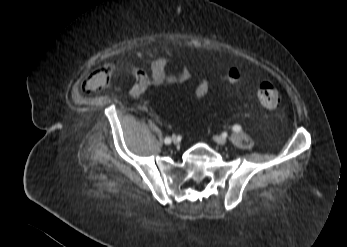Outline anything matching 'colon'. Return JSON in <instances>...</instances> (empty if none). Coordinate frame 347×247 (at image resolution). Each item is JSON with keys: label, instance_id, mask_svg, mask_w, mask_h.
<instances>
[{"label": "colon", "instance_id": "1", "mask_svg": "<svg viewBox=\"0 0 347 247\" xmlns=\"http://www.w3.org/2000/svg\"><path fill=\"white\" fill-rule=\"evenodd\" d=\"M240 75L236 69H231L227 73V80L236 82ZM256 98L260 103L269 109L276 108L280 103V96L276 80L271 76L262 77L256 85Z\"/></svg>", "mask_w": 347, "mask_h": 247}]
</instances>
